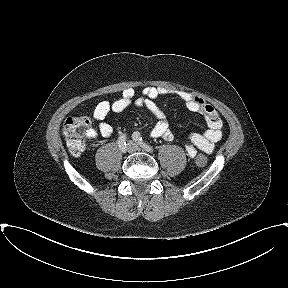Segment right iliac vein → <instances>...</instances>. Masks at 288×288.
<instances>
[{"label": "right iliac vein", "instance_id": "obj_1", "mask_svg": "<svg viewBox=\"0 0 288 288\" xmlns=\"http://www.w3.org/2000/svg\"><path fill=\"white\" fill-rule=\"evenodd\" d=\"M133 151H134V145L131 142H129L127 144V147H125V149L123 150L124 153H126V152L132 153Z\"/></svg>", "mask_w": 288, "mask_h": 288}]
</instances>
